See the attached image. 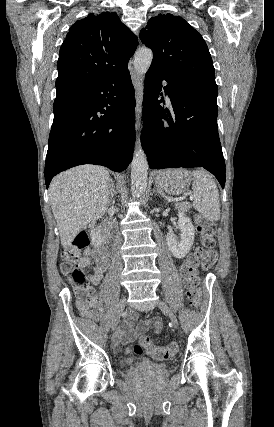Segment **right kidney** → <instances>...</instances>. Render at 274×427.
I'll list each match as a JSON object with an SVG mask.
<instances>
[{"instance_id": "obj_1", "label": "right kidney", "mask_w": 274, "mask_h": 427, "mask_svg": "<svg viewBox=\"0 0 274 427\" xmlns=\"http://www.w3.org/2000/svg\"><path fill=\"white\" fill-rule=\"evenodd\" d=\"M90 227H92L91 229V243L92 245H95V247H98V245H100L101 241H102V235L100 233V229H94V221H91V225Z\"/></svg>"}]
</instances>
